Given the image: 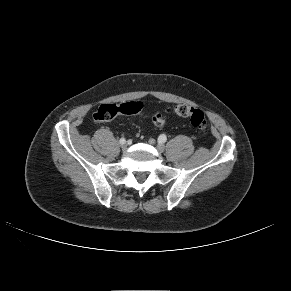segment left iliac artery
I'll return each mask as SVG.
<instances>
[{
  "label": "left iliac artery",
  "instance_id": "1",
  "mask_svg": "<svg viewBox=\"0 0 291 291\" xmlns=\"http://www.w3.org/2000/svg\"><path fill=\"white\" fill-rule=\"evenodd\" d=\"M166 140H167V137H166V135H164V134H161V135L159 136V138H158V141H159L160 143H165Z\"/></svg>",
  "mask_w": 291,
  "mask_h": 291
}]
</instances>
